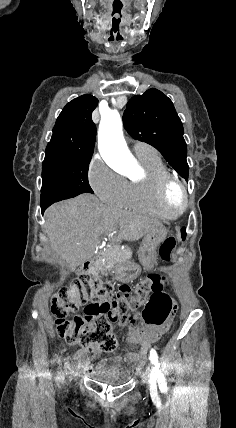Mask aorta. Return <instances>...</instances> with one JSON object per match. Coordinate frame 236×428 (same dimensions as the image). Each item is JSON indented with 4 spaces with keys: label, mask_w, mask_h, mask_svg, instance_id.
<instances>
[{
    "label": "aorta",
    "mask_w": 236,
    "mask_h": 428,
    "mask_svg": "<svg viewBox=\"0 0 236 428\" xmlns=\"http://www.w3.org/2000/svg\"><path fill=\"white\" fill-rule=\"evenodd\" d=\"M99 150L103 159L114 168L129 171L136 165L122 131V120L116 110H110L101 117L98 132Z\"/></svg>",
    "instance_id": "762f6f07"
}]
</instances>
